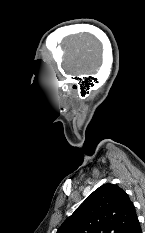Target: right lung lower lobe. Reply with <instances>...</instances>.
I'll return each mask as SVG.
<instances>
[{"instance_id": "right-lung-lower-lobe-1", "label": "right lung lower lobe", "mask_w": 145, "mask_h": 233, "mask_svg": "<svg viewBox=\"0 0 145 233\" xmlns=\"http://www.w3.org/2000/svg\"><path fill=\"white\" fill-rule=\"evenodd\" d=\"M129 233H142V229H141V226H140V223H139L138 219L133 224V226L130 229Z\"/></svg>"}]
</instances>
